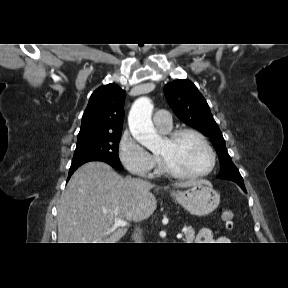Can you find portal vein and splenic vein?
Instances as JSON below:
<instances>
[{
  "label": "portal vein and splenic vein",
  "mask_w": 288,
  "mask_h": 288,
  "mask_svg": "<svg viewBox=\"0 0 288 288\" xmlns=\"http://www.w3.org/2000/svg\"><path fill=\"white\" fill-rule=\"evenodd\" d=\"M127 225H128V223L126 221H124L123 219H120V218H116L115 221H114V226H116V227H125ZM177 238L181 239L182 238V234L178 233L177 234Z\"/></svg>",
  "instance_id": "18ae733b"
}]
</instances>
